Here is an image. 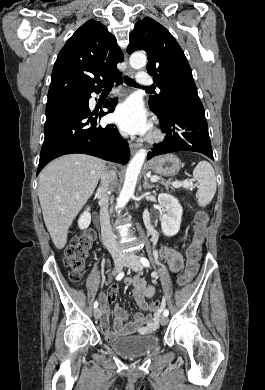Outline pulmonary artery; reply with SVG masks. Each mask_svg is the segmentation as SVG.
<instances>
[{
	"instance_id": "obj_1",
	"label": "pulmonary artery",
	"mask_w": 265,
	"mask_h": 390,
	"mask_svg": "<svg viewBox=\"0 0 265 390\" xmlns=\"http://www.w3.org/2000/svg\"><path fill=\"white\" fill-rule=\"evenodd\" d=\"M138 82L141 85H151L153 83V79L149 73L141 71L138 75Z\"/></svg>"
}]
</instances>
